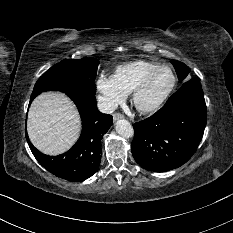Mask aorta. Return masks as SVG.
Wrapping results in <instances>:
<instances>
[{"instance_id":"obj_1","label":"aorta","mask_w":233,"mask_h":233,"mask_svg":"<svg viewBox=\"0 0 233 233\" xmlns=\"http://www.w3.org/2000/svg\"><path fill=\"white\" fill-rule=\"evenodd\" d=\"M116 132L123 138H131L134 135L132 125L125 119H119L116 122Z\"/></svg>"}]
</instances>
